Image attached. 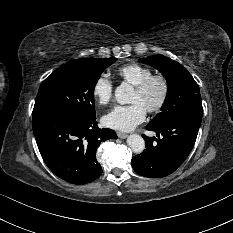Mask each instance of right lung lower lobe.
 I'll return each instance as SVG.
<instances>
[{"label":"right lung lower lobe","instance_id":"obj_1","mask_svg":"<svg viewBox=\"0 0 233 233\" xmlns=\"http://www.w3.org/2000/svg\"><path fill=\"white\" fill-rule=\"evenodd\" d=\"M33 132L48 168L72 184H87L102 174L96 159L99 145L116 139L115 131L97 126L96 117L65 112H33Z\"/></svg>","mask_w":233,"mask_h":233}]
</instances>
